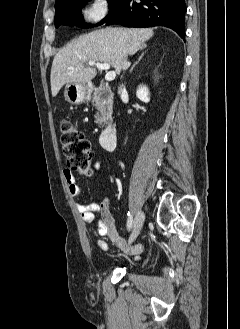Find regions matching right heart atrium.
<instances>
[{
    "mask_svg": "<svg viewBox=\"0 0 240 329\" xmlns=\"http://www.w3.org/2000/svg\"><path fill=\"white\" fill-rule=\"evenodd\" d=\"M108 14V0H91L84 10V19L94 24L102 21Z\"/></svg>",
    "mask_w": 240,
    "mask_h": 329,
    "instance_id": "d8ad5b80",
    "label": "right heart atrium"
}]
</instances>
